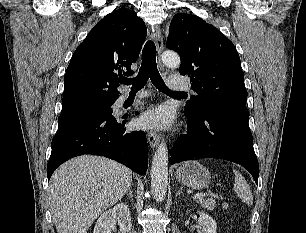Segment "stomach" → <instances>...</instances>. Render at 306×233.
I'll return each instance as SVG.
<instances>
[{
  "mask_svg": "<svg viewBox=\"0 0 306 233\" xmlns=\"http://www.w3.org/2000/svg\"><path fill=\"white\" fill-rule=\"evenodd\" d=\"M175 177L181 184L193 189H203L211 180L208 169L196 160L182 163L176 170Z\"/></svg>",
  "mask_w": 306,
  "mask_h": 233,
  "instance_id": "obj_1",
  "label": "stomach"
}]
</instances>
